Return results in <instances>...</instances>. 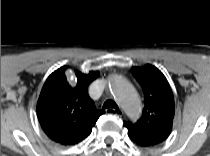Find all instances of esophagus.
Returning a JSON list of instances; mask_svg holds the SVG:
<instances>
[{
	"instance_id": "esophagus-1",
	"label": "esophagus",
	"mask_w": 210,
	"mask_h": 156,
	"mask_svg": "<svg viewBox=\"0 0 210 156\" xmlns=\"http://www.w3.org/2000/svg\"><path fill=\"white\" fill-rule=\"evenodd\" d=\"M112 112H115L118 116H123V114H124L122 109H117L116 111H115V109H112V108L106 109L107 114H111Z\"/></svg>"
}]
</instances>
